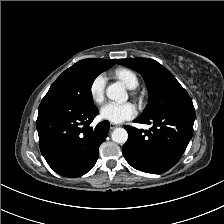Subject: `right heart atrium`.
<instances>
[{
	"label": "right heart atrium",
	"mask_w": 224,
	"mask_h": 224,
	"mask_svg": "<svg viewBox=\"0 0 224 224\" xmlns=\"http://www.w3.org/2000/svg\"><path fill=\"white\" fill-rule=\"evenodd\" d=\"M107 78L101 73L93 78L89 86L90 97L96 104H101L105 98Z\"/></svg>",
	"instance_id": "d8ad5b80"
}]
</instances>
